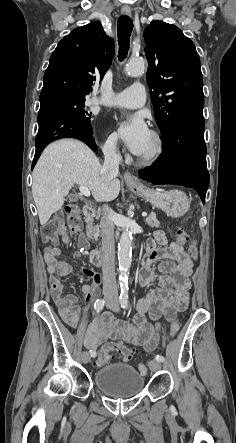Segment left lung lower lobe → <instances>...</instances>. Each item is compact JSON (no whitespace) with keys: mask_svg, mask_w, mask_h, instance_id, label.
Here are the masks:
<instances>
[{"mask_svg":"<svg viewBox=\"0 0 236 443\" xmlns=\"http://www.w3.org/2000/svg\"><path fill=\"white\" fill-rule=\"evenodd\" d=\"M203 114L188 113L174 120L162 135L164 151L156 165L139 171L153 184L194 188L203 204L209 185Z\"/></svg>","mask_w":236,"mask_h":443,"instance_id":"0a47b994","label":"left lung lower lobe"}]
</instances>
